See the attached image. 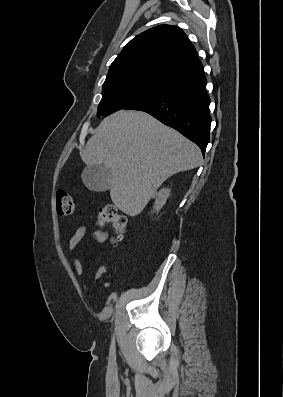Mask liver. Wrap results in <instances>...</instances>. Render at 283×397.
Masks as SVG:
<instances>
[{
	"label": "liver",
	"mask_w": 283,
	"mask_h": 397,
	"mask_svg": "<svg viewBox=\"0 0 283 397\" xmlns=\"http://www.w3.org/2000/svg\"><path fill=\"white\" fill-rule=\"evenodd\" d=\"M88 165L112 171L110 196L129 216L146 207L162 183L202 163L199 147L142 111L120 110L106 117L81 153Z\"/></svg>",
	"instance_id": "obj_1"
}]
</instances>
